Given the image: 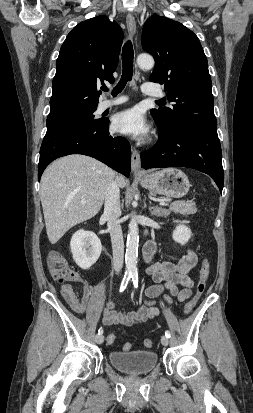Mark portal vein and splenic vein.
Masks as SVG:
<instances>
[{
  "label": "portal vein and splenic vein",
  "mask_w": 253,
  "mask_h": 413,
  "mask_svg": "<svg viewBox=\"0 0 253 413\" xmlns=\"http://www.w3.org/2000/svg\"><path fill=\"white\" fill-rule=\"evenodd\" d=\"M168 201H170L169 199H166V200H161L160 201V204H165L166 202H168ZM82 203L84 204L85 203V201H82Z\"/></svg>",
  "instance_id": "obj_1"
}]
</instances>
